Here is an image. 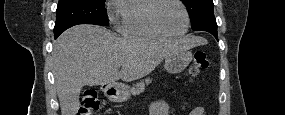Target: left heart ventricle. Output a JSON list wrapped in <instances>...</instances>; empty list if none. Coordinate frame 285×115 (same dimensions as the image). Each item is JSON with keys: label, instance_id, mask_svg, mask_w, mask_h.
Masks as SVG:
<instances>
[{"label": "left heart ventricle", "instance_id": "left-heart-ventricle-1", "mask_svg": "<svg viewBox=\"0 0 285 115\" xmlns=\"http://www.w3.org/2000/svg\"><path fill=\"white\" fill-rule=\"evenodd\" d=\"M159 23L169 32L178 33L185 27V16L182 8L173 1L160 4L157 11Z\"/></svg>", "mask_w": 285, "mask_h": 115}]
</instances>
